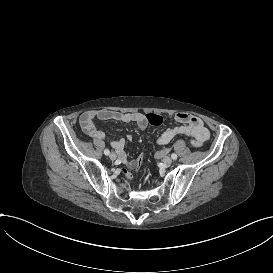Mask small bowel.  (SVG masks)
Wrapping results in <instances>:
<instances>
[{"instance_id":"obj_1","label":"small bowel","mask_w":273,"mask_h":273,"mask_svg":"<svg viewBox=\"0 0 273 273\" xmlns=\"http://www.w3.org/2000/svg\"><path fill=\"white\" fill-rule=\"evenodd\" d=\"M96 121H114L123 124H135L140 130H145L148 126L146 117L141 112H120L115 110H100L86 112L80 117V125L83 132L89 137L97 141L108 140L105 133L96 126ZM174 121L179 123L177 126L166 128L158 137L157 144L160 146L169 144L174 138L178 136H185L190 138L191 143L195 147H200L210 137V132L205 126L202 119L193 116L189 113H177L174 116ZM132 136H128L127 140H131ZM109 144L116 150L118 158L121 162L126 164L129 169H135V161L129 159L124 151L126 140L123 138L108 140ZM170 156L169 150H163L159 153L153 154L154 160L164 159ZM126 179L131 181L133 176L122 169Z\"/></svg>"}]
</instances>
